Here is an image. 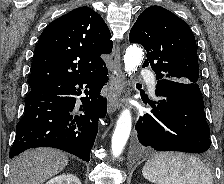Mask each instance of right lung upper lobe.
Masks as SVG:
<instances>
[{"instance_id": "cb5924a9", "label": "right lung upper lobe", "mask_w": 224, "mask_h": 184, "mask_svg": "<svg viewBox=\"0 0 224 184\" xmlns=\"http://www.w3.org/2000/svg\"><path fill=\"white\" fill-rule=\"evenodd\" d=\"M113 43L102 17L83 6L52 21L41 33L31 66L30 88L99 72Z\"/></svg>"}]
</instances>
